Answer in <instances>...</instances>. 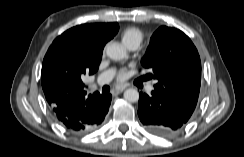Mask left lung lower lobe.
Returning <instances> with one entry per match:
<instances>
[{
  "label": "left lung lower lobe",
  "mask_w": 244,
  "mask_h": 157,
  "mask_svg": "<svg viewBox=\"0 0 244 157\" xmlns=\"http://www.w3.org/2000/svg\"><path fill=\"white\" fill-rule=\"evenodd\" d=\"M138 116L150 133L164 138L180 133L191 117L155 89L151 95L140 93Z\"/></svg>",
  "instance_id": "0a47b994"
}]
</instances>
